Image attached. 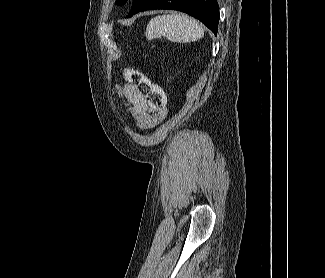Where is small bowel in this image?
<instances>
[{
    "label": "small bowel",
    "mask_w": 325,
    "mask_h": 278,
    "mask_svg": "<svg viewBox=\"0 0 325 278\" xmlns=\"http://www.w3.org/2000/svg\"><path fill=\"white\" fill-rule=\"evenodd\" d=\"M124 100L129 105L131 116L136 119L137 127L141 130L157 126L164 118L165 111H153L139 90L130 83L118 87Z\"/></svg>",
    "instance_id": "1"
}]
</instances>
